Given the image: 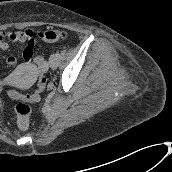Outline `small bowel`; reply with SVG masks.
Returning <instances> with one entry per match:
<instances>
[{"mask_svg": "<svg viewBox=\"0 0 172 172\" xmlns=\"http://www.w3.org/2000/svg\"><path fill=\"white\" fill-rule=\"evenodd\" d=\"M45 32L46 31L34 33L32 30L29 29L16 31H0V50H7L10 47L11 43H25L26 47L22 52V56L26 62V65H30L38 40L48 42L44 39ZM6 62L8 65L14 66L17 63V59L14 56H9L6 59Z\"/></svg>", "mask_w": 172, "mask_h": 172, "instance_id": "c3829d8e", "label": "small bowel"}]
</instances>
